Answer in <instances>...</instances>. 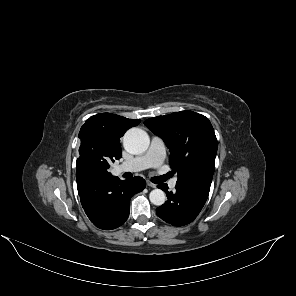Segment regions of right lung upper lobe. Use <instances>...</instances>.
Listing matches in <instances>:
<instances>
[{"label":"right lung upper lobe","instance_id":"obj_1","mask_svg":"<svg viewBox=\"0 0 296 296\" xmlns=\"http://www.w3.org/2000/svg\"><path fill=\"white\" fill-rule=\"evenodd\" d=\"M140 120L127 119L111 113H101L90 117L81 127V144H94L106 148L114 159H120V138L126 130L136 126Z\"/></svg>","mask_w":296,"mask_h":296}]
</instances>
